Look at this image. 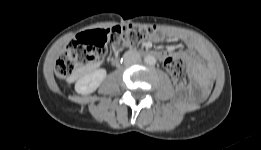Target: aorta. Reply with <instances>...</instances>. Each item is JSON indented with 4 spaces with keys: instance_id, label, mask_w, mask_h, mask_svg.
<instances>
[{
    "instance_id": "1",
    "label": "aorta",
    "mask_w": 261,
    "mask_h": 150,
    "mask_svg": "<svg viewBox=\"0 0 261 150\" xmlns=\"http://www.w3.org/2000/svg\"><path fill=\"white\" fill-rule=\"evenodd\" d=\"M144 61L147 65H155L156 64V58L153 55H147L144 58Z\"/></svg>"
}]
</instances>
